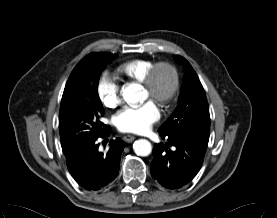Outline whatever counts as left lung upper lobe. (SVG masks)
Listing matches in <instances>:
<instances>
[{"label": "left lung upper lobe", "instance_id": "left-lung-upper-lobe-1", "mask_svg": "<svg viewBox=\"0 0 277 218\" xmlns=\"http://www.w3.org/2000/svg\"><path fill=\"white\" fill-rule=\"evenodd\" d=\"M180 58L188 73L187 79L181 90L177 108L158 131L209 135L210 115L205 91L189 62L183 57Z\"/></svg>", "mask_w": 277, "mask_h": 218}]
</instances>
